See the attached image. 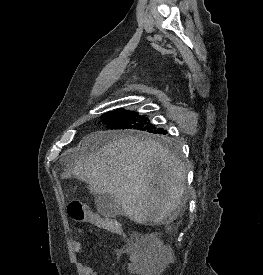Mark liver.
Listing matches in <instances>:
<instances>
[{
    "label": "liver",
    "instance_id": "6515ba94",
    "mask_svg": "<svg viewBox=\"0 0 263 275\" xmlns=\"http://www.w3.org/2000/svg\"><path fill=\"white\" fill-rule=\"evenodd\" d=\"M81 154L63 178L77 177L92 194L112 195L132 221L170 224L186 202L184 164L151 139L97 131L86 136Z\"/></svg>",
    "mask_w": 263,
    "mask_h": 275
}]
</instances>
